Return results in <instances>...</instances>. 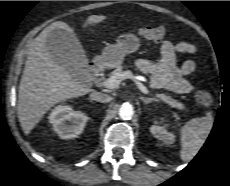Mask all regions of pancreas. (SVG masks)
<instances>
[{
	"instance_id": "1",
	"label": "pancreas",
	"mask_w": 230,
	"mask_h": 186,
	"mask_svg": "<svg viewBox=\"0 0 230 186\" xmlns=\"http://www.w3.org/2000/svg\"><path fill=\"white\" fill-rule=\"evenodd\" d=\"M123 72V66H117L116 69L112 71L111 77L116 76L118 74H122ZM155 96L156 101H163L172 108H176L178 110H185V106L182 103L178 102L170 96H166L165 94H155Z\"/></svg>"
}]
</instances>
